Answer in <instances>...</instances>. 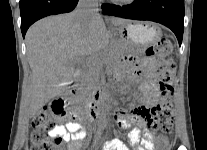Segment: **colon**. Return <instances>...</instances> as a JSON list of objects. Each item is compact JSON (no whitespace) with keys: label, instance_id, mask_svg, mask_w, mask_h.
<instances>
[{"label":"colon","instance_id":"5ec220e1","mask_svg":"<svg viewBox=\"0 0 207 150\" xmlns=\"http://www.w3.org/2000/svg\"><path fill=\"white\" fill-rule=\"evenodd\" d=\"M171 52V42L168 38H161L148 50V55L158 60L156 78L160 93L159 103L149 110L146 123L152 130L148 140L157 136L162 150L169 144V135L173 129L174 108L172 97L174 94L173 78L176 71L175 63L167 59ZM64 100H53L52 108L39 110L31 119V147L30 150H63L60 139L52 137L49 131L55 127V116H63Z\"/></svg>","mask_w":207,"mask_h":150}]
</instances>
